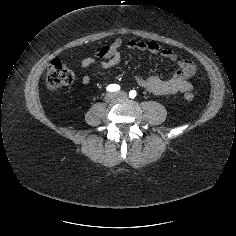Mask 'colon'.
I'll return each mask as SVG.
<instances>
[{
    "mask_svg": "<svg viewBox=\"0 0 236 236\" xmlns=\"http://www.w3.org/2000/svg\"><path fill=\"white\" fill-rule=\"evenodd\" d=\"M73 79V72L60 59H55L49 64L46 74V84L50 89L55 90L67 86L73 82ZM193 98L192 93L187 92L185 94L187 101H192Z\"/></svg>",
    "mask_w": 236,
    "mask_h": 236,
    "instance_id": "5ec220e1",
    "label": "colon"
}]
</instances>
